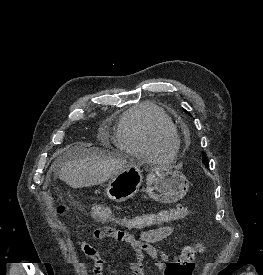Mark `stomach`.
I'll list each match as a JSON object with an SVG mask.
<instances>
[{
	"label": "stomach",
	"mask_w": 263,
	"mask_h": 275,
	"mask_svg": "<svg viewBox=\"0 0 263 275\" xmlns=\"http://www.w3.org/2000/svg\"><path fill=\"white\" fill-rule=\"evenodd\" d=\"M141 164H133L120 174L110 178L106 188L108 197L115 202H124L132 198L143 181ZM148 195L160 203H173L182 199L189 187L185 175L166 166H155L149 170L146 178Z\"/></svg>",
	"instance_id": "0dacf381"
}]
</instances>
